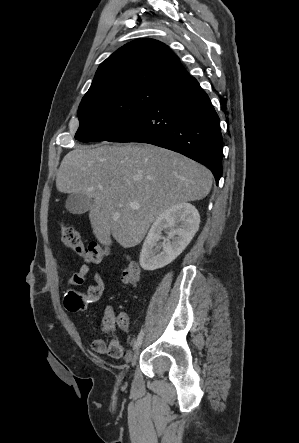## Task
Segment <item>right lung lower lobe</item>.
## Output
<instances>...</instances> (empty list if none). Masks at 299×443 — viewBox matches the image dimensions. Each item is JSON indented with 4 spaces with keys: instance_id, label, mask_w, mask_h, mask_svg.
Wrapping results in <instances>:
<instances>
[{
    "instance_id": "1",
    "label": "right lung lower lobe",
    "mask_w": 299,
    "mask_h": 443,
    "mask_svg": "<svg viewBox=\"0 0 299 443\" xmlns=\"http://www.w3.org/2000/svg\"><path fill=\"white\" fill-rule=\"evenodd\" d=\"M107 141L149 143L179 152L205 164L217 184L222 174L219 117L191 76L166 89L136 121Z\"/></svg>"
}]
</instances>
